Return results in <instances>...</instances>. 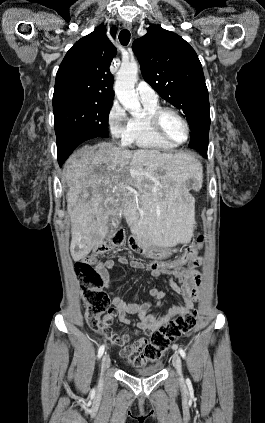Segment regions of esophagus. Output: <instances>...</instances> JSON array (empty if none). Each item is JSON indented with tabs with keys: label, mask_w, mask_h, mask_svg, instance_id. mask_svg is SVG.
Returning <instances> with one entry per match:
<instances>
[{
	"label": "esophagus",
	"mask_w": 265,
	"mask_h": 423,
	"mask_svg": "<svg viewBox=\"0 0 265 423\" xmlns=\"http://www.w3.org/2000/svg\"><path fill=\"white\" fill-rule=\"evenodd\" d=\"M123 27H124L125 29L130 30V29L132 28V24H131V22H130V21H124V23H123Z\"/></svg>",
	"instance_id": "obj_1"
}]
</instances>
